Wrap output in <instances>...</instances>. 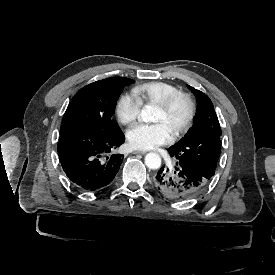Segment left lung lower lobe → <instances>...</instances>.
I'll list each match as a JSON object with an SVG mask.
<instances>
[{"label": "left lung lower lobe", "mask_w": 275, "mask_h": 275, "mask_svg": "<svg viewBox=\"0 0 275 275\" xmlns=\"http://www.w3.org/2000/svg\"><path fill=\"white\" fill-rule=\"evenodd\" d=\"M210 179L184 164L176 162L172 169L163 166L153 179L155 188L170 200L193 198L203 192Z\"/></svg>", "instance_id": "1"}]
</instances>
